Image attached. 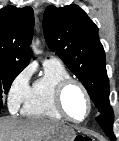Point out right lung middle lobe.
<instances>
[{"label": "right lung middle lobe", "mask_w": 119, "mask_h": 141, "mask_svg": "<svg viewBox=\"0 0 119 141\" xmlns=\"http://www.w3.org/2000/svg\"><path fill=\"white\" fill-rule=\"evenodd\" d=\"M19 70H0V110L2 108V97L7 95L13 80L20 73Z\"/></svg>", "instance_id": "1"}]
</instances>
